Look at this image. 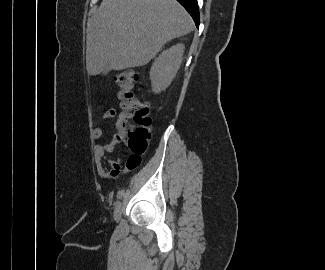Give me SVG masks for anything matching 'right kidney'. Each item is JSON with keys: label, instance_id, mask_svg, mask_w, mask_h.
<instances>
[{"label": "right kidney", "instance_id": "right-kidney-1", "mask_svg": "<svg viewBox=\"0 0 325 270\" xmlns=\"http://www.w3.org/2000/svg\"><path fill=\"white\" fill-rule=\"evenodd\" d=\"M183 53L184 45L177 44L157 58L150 71L153 92L159 93L170 85L181 65Z\"/></svg>", "mask_w": 325, "mask_h": 270}]
</instances>
